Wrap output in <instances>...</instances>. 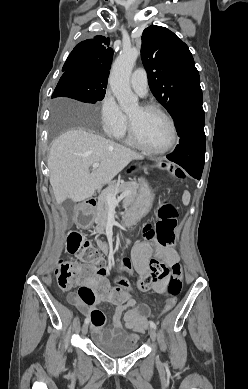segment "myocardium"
I'll return each mask as SVG.
<instances>
[{
	"instance_id": "obj_1",
	"label": "myocardium",
	"mask_w": 248,
	"mask_h": 389,
	"mask_svg": "<svg viewBox=\"0 0 248 389\" xmlns=\"http://www.w3.org/2000/svg\"><path fill=\"white\" fill-rule=\"evenodd\" d=\"M140 107L144 110L157 112L161 116H163L167 120V122L170 126L171 138H170L169 143L166 146L159 148V149H153V148L146 146L139 138L137 131H136V128H135V125H134L132 119L128 116V132H129V136H130L131 140L133 141V143L139 149H141L142 151H144L148 154H151V155L164 154V153L170 151L171 149H173L174 146L176 145L177 139H178V132H177V127H176L174 119L163 108H161L160 106H158L154 103H150V102L142 103L140 105Z\"/></svg>"
}]
</instances>
